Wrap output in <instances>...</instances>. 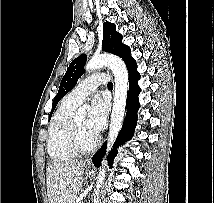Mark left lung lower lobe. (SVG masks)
<instances>
[{
    "instance_id": "1",
    "label": "left lung lower lobe",
    "mask_w": 214,
    "mask_h": 203,
    "mask_svg": "<svg viewBox=\"0 0 214 203\" xmlns=\"http://www.w3.org/2000/svg\"><path fill=\"white\" fill-rule=\"evenodd\" d=\"M129 72V92L126 101V118L123 123L122 129L114 143L113 150L109 153V165L112 166L114 156L117 154V148L124 144L125 141H128L132 138L134 133V127L137 122V111L139 109L138 95L140 93V88L137 84L140 75L136 70V62L131 57V59L126 63ZM107 147V142L103 144L100 150L94 155L92 161L96 167L101 165L102 157L105 154Z\"/></svg>"
}]
</instances>
